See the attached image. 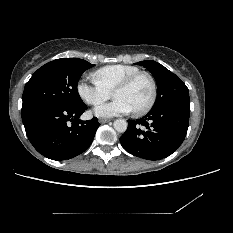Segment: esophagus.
<instances>
[{"mask_svg": "<svg viewBox=\"0 0 233 233\" xmlns=\"http://www.w3.org/2000/svg\"><path fill=\"white\" fill-rule=\"evenodd\" d=\"M99 122H100L101 124H105V123L111 122V120H110V119H99Z\"/></svg>", "mask_w": 233, "mask_h": 233, "instance_id": "esophagus-1", "label": "esophagus"}]
</instances>
